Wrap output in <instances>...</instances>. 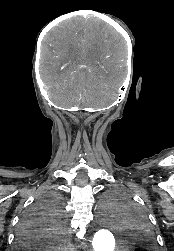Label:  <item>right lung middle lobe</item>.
<instances>
[{
	"label": "right lung middle lobe",
	"mask_w": 174,
	"mask_h": 251,
	"mask_svg": "<svg viewBox=\"0 0 174 251\" xmlns=\"http://www.w3.org/2000/svg\"><path fill=\"white\" fill-rule=\"evenodd\" d=\"M40 216L50 221L56 228L64 225V210L61 196L57 192H48L39 197L31 208L27 218Z\"/></svg>",
	"instance_id": "dd1d6c3e"
}]
</instances>
